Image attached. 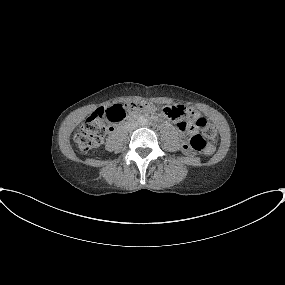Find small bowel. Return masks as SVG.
Returning <instances> with one entry per match:
<instances>
[{"label": "small bowel", "mask_w": 285, "mask_h": 285, "mask_svg": "<svg viewBox=\"0 0 285 285\" xmlns=\"http://www.w3.org/2000/svg\"><path fill=\"white\" fill-rule=\"evenodd\" d=\"M198 118H200V115L196 109H194V108H188L187 109V119H186L187 122H194Z\"/></svg>", "instance_id": "obj_1"}]
</instances>
